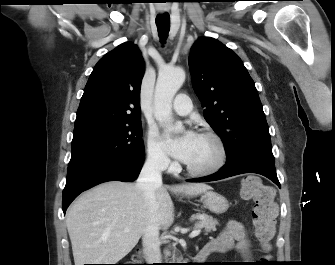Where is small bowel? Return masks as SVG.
Wrapping results in <instances>:
<instances>
[{"label":"small bowel","mask_w":335,"mask_h":265,"mask_svg":"<svg viewBox=\"0 0 335 265\" xmlns=\"http://www.w3.org/2000/svg\"><path fill=\"white\" fill-rule=\"evenodd\" d=\"M208 244L216 248L215 252H227L235 248L244 258L251 257L247 231L241 223L234 220L229 221L220 235Z\"/></svg>","instance_id":"obj_1"}]
</instances>
